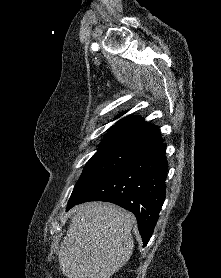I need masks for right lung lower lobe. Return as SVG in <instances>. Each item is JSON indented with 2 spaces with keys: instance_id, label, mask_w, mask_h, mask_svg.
Listing matches in <instances>:
<instances>
[{
  "instance_id": "98d812e1",
  "label": "right lung lower lobe",
  "mask_w": 221,
  "mask_h": 278,
  "mask_svg": "<svg viewBox=\"0 0 221 278\" xmlns=\"http://www.w3.org/2000/svg\"><path fill=\"white\" fill-rule=\"evenodd\" d=\"M165 148L163 141L135 148L129 161L99 180L75 204L108 201L131 211L137 218L143 247L146 246L165 200Z\"/></svg>"
}]
</instances>
